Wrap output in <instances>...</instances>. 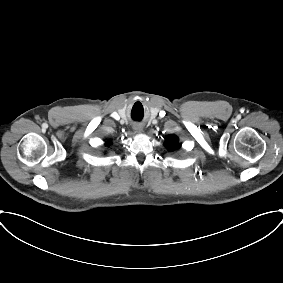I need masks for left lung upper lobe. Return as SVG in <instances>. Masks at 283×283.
Wrapping results in <instances>:
<instances>
[{
    "label": "left lung upper lobe",
    "instance_id": "1",
    "mask_svg": "<svg viewBox=\"0 0 283 283\" xmlns=\"http://www.w3.org/2000/svg\"><path fill=\"white\" fill-rule=\"evenodd\" d=\"M178 138L175 135H170L166 138L165 144L170 150H173L174 148H179L180 144L178 143Z\"/></svg>",
    "mask_w": 283,
    "mask_h": 283
}]
</instances>
